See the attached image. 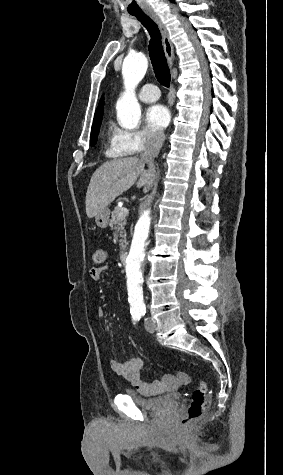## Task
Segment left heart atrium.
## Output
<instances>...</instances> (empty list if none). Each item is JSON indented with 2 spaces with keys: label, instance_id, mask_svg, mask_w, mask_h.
<instances>
[{
  "label": "left heart atrium",
  "instance_id": "1",
  "mask_svg": "<svg viewBox=\"0 0 283 475\" xmlns=\"http://www.w3.org/2000/svg\"><path fill=\"white\" fill-rule=\"evenodd\" d=\"M171 115L167 107L164 105H153L151 106L146 113V121L154 130H163L170 123Z\"/></svg>",
  "mask_w": 283,
  "mask_h": 475
}]
</instances>
